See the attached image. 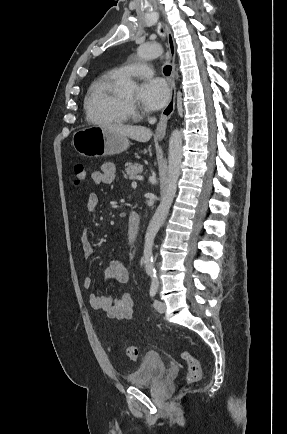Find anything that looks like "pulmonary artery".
Here are the masks:
<instances>
[{"label": "pulmonary artery", "mask_w": 287, "mask_h": 434, "mask_svg": "<svg viewBox=\"0 0 287 434\" xmlns=\"http://www.w3.org/2000/svg\"><path fill=\"white\" fill-rule=\"evenodd\" d=\"M123 77H151L153 74L152 68L145 62H138L122 66L118 69Z\"/></svg>", "instance_id": "obj_1"}]
</instances>
